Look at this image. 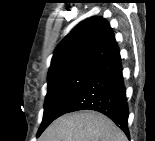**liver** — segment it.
<instances>
[{"mask_svg": "<svg viewBox=\"0 0 155 141\" xmlns=\"http://www.w3.org/2000/svg\"><path fill=\"white\" fill-rule=\"evenodd\" d=\"M41 141H127V138L105 115L83 110L56 119Z\"/></svg>", "mask_w": 155, "mask_h": 141, "instance_id": "liver-1", "label": "liver"}]
</instances>
